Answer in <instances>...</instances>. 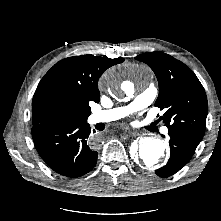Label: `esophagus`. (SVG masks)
Wrapping results in <instances>:
<instances>
[{"label":"esophagus","instance_id":"obj_1","mask_svg":"<svg viewBox=\"0 0 221 221\" xmlns=\"http://www.w3.org/2000/svg\"><path fill=\"white\" fill-rule=\"evenodd\" d=\"M124 134H125V136H127V137H131V136H135V135H136V133L133 132V131H125Z\"/></svg>","mask_w":221,"mask_h":221}]
</instances>
